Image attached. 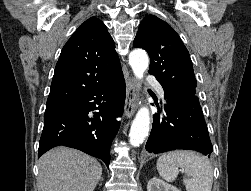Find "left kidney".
Returning <instances> with one entry per match:
<instances>
[{
  "label": "left kidney",
  "instance_id": "1",
  "mask_svg": "<svg viewBox=\"0 0 251 191\" xmlns=\"http://www.w3.org/2000/svg\"><path fill=\"white\" fill-rule=\"evenodd\" d=\"M147 191H181L175 185L171 183H166L163 179H158V177H152L147 183Z\"/></svg>",
  "mask_w": 251,
  "mask_h": 191
}]
</instances>
